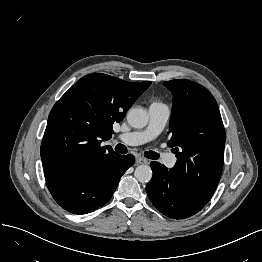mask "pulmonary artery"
Returning a JSON list of instances; mask_svg holds the SVG:
<instances>
[{"instance_id": "obj_1", "label": "pulmonary artery", "mask_w": 262, "mask_h": 262, "mask_svg": "<svg viewBox=\"0 0 262 262\" xmlns=\"http://www.w3.org/2000/svg\"><path fill=\"white\" fill-rule=\"evenodd\" d=\"M149 123L144 130L123 133L119 139L130 146H138L155 139L164 129L169 118V108L162 103L151 104L148 110ZM162 162L167 167L175 165V158L171 154H166Z\"/></svg>"}]
</instances>
